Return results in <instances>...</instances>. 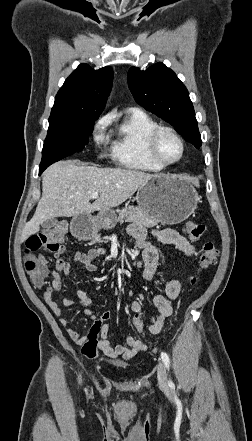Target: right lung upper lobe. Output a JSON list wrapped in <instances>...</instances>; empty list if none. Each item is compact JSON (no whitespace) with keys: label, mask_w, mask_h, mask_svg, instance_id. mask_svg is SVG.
Returning a JSON list of instances; mask_svg holds the SVG:
<instances>
[{"label":"right lung upper lobe","mask_w":252,"mask_h":441,"mask_svg":"<svg viewBox=\"0 0 252 441\" xmlns=\"http://www.w3.org/2000/svg\"><path fill=\"white\" fill-rule=\"evenodd\" d=\"M113 81V70L106 66L93 70L81 64L58 91L51 114L99 117Z\"/></svg>","instance_id":"1"}]
</instances>
